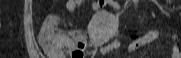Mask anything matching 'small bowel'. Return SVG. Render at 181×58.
<instances>
[{
  "mask_svg": "<svg viewBox=\"0 0 181 58\" xmlns=\"http://www.w3.org/2000/svg\"><path fill=\"white\" fill-rule=\"evenodd\" d=\"M84 3H85L84 0H67L65 2V8L68 11H74L77 8L81 7ZM104 4H105V1H103V0L92 1V5L95 9L102 7ZM110 5L115 10L119 9V5L117 3H111ZM73 36L77 37V38H82L85 40V37L81 32H75L73 34ZM157 37H158V34L156 32H151V33L147 34L146 36L142 37L141 39L137 40L134 43L133 48H137L143 44L154 41L157 39ZM174 38H175V35H174ZM118 47H119L118 42H112L106 46H102L100 48V52H101V54L105 55V54H108V53L116 50ZM172 58H181V51L179 50V48L176 45L173 47Z\"/></svg>",
  "mask_w": 181,
  "mask_h": 58,
  "instance_id": "c3829d8e",
  "label": "small bowel"
}]
</instances>
